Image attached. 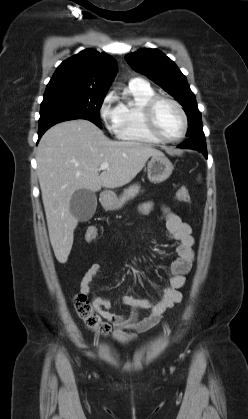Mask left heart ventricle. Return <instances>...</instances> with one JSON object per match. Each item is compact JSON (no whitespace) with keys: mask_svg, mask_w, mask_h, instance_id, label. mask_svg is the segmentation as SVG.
<instances>
[{"mask_svg":"<svg viewBox=\"0 0 248 419\" xmlns=\"http://www.w3.org/2000/svg\"><path fill=\"white\" fill-rule=\"evenodd\" d=\"M157 131L166 138H174L182 131V118L170 103L160 102L154 112Z\"/></svg>","mask_w":248,"mask_h":419,"instance_id":"left-heart-ventricle-1","label":"left heart ventricle"}]
</instances>
